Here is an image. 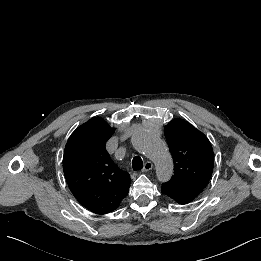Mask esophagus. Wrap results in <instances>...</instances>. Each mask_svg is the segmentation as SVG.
I'll list each match as a JSON object with an SVG mask.
<instances>
[{
	"label": "esophagus",
	"mask_w": 261,
	"mask_h": 261,
	"mask_svg": "<svg viewBox=\"0 0 261 261\" xmlns=\"http://www.w3.org/2000/svg\"><path fill=\"white\" fill-rule=\"evenodd\" d=\"M152 168H153L152 162L147 161V162L144 164V168H143L142 171H143V172H147V171H150Z\"/></svg>",
	"instance_id": "1"
}]
</instances>
